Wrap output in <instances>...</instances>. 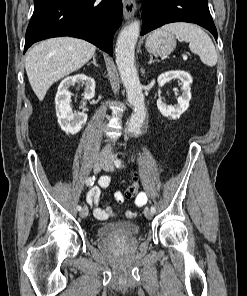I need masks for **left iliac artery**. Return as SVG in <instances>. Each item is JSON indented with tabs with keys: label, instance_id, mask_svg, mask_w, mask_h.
I'll list each match as a JSON object with an SVG mask.
<instances>
[{
	"label": "left iliac artery",
	"instance_id": "left-iliac-artery-1",
	"mask_svg": "<svg viewBox=\"0 0 247 296\" xmlns=\"http://www.w3.org/2000/svg\"><path fill=\"white\" fill-rule=\"evenodd\" d=\"M114 163H115V165H116L117 168L123 166L121 160L118 159V158L115 159ZM151 211H152L153 213H155L156 210H155V207H154V206H151Z\"/></svg>",
	"mask_w": 247,
	"mask_h": 296
}]
</instances>
